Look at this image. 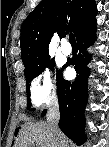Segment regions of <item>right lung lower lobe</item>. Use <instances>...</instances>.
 <instances>
[{
	"instance_id": "98d812e1",
	"label": "right lung lower lobe",
	"mask_w": 109,
	"mask_h": 147,
	"mask_svg": "<svg viewBox=\"0 0 109 147\" xmlns=\"http://www.w3.org/2000/svg\"><path fill=\"white\" fill-rule=\"evenodd\" d=\"M96 21L93 19L85 29L76 37L79 47V54L74 56L70 63L75 66L77 77L74 82L63 79L61 75L57 76V92L60 107L59 127L63 133L81 145L86 141L84 136L85 118L84 110L87 103V79L89 68L86 67L91 56L86 53L87 47L96 40ZM46 114L44 110L41 116Z\"/></svg>"
}]
</instances>
